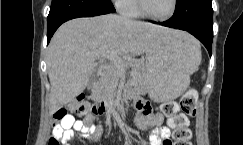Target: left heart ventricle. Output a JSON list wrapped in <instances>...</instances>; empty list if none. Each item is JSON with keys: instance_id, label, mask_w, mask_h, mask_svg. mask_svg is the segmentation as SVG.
I'll return each instance as SVG.
<instances>
[{"instance_id": "b2bd125f", "label": "left heart ventricle", "mask_w": 243, "mask_h": 145, "mask_svg": "<svg viewBox=\"0 0 243 145\" xmlns=\"http://www.w3.org/2000/svg\"><path fill=\"white\" fill-rule=\"evenodd\" d=\"M146 10L154 16H165L172 8V0H143Z\"/></svg>"}]
</instances>
